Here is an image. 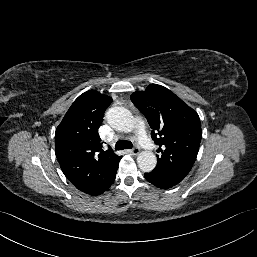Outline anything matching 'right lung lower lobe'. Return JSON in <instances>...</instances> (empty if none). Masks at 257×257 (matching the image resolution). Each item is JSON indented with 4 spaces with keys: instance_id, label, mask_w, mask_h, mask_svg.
Instances as JSON below:
<instances>
[{
    "instance_id": "right-lung-lower-lobe-1",
    "label": "right lung lower lobe",
    "mask_w": 257,
    "mask_h": 257,
    "mask_svg": "<svg viewBox=\"0 0 257 257\" xmlns=\"http://www.w3.org/2000/svg\"><path fill=\"white\" fill-rule=\"evenodd\" d=\"M117 169H118V166H117ZM117 169H116V171H117ZM115 176H116V173H115V175H114L113 182H114V180H115ZM113 182H112V183H113Z\"/></svg>"
}]
</instances>
